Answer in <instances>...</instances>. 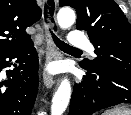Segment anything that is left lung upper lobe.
<instances>
[{
	"mask_svg": "<svg viewBox=\"0 0 131 115\" xmlns=\"http://www.w3.org/2000/svg\"><path fill=\"white\" fill-rule=\"evenodd\" d=\"M59 5L76 10L77 29L86 30L95 47L97 57L82 64L90 70L131 77V25L115 1L59 0Z\"/></svg>",
	"mask_w": 131,
	"mask_h": 115,
	"instance_id": "1",
	"label": "left lung upper lobe"
}]
</instances>
